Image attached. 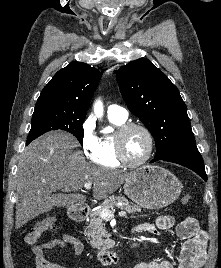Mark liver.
<instances>
[{
  "instance_id": "1",
  "label": "liver",
  "mask_w": 221,
  "mask_h": 268,
  "mask_svg": "<svg viewBox=\"0 0 221 268\" xmlns=\"http://www.w3.org/2000/svg\"><path fill=\"white\" fill-rule=\"evenodd\" d=\"M68 133L48 132L31 142L21 154L16 174L15 228L50 211L58 203L57 190L69 193L93 184V196L103 199L120 188L128 173L88 163Z\"/></svg>"
}]
</instances>
